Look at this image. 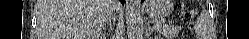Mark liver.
Wrapping results in <instances>:
<instances>
[{
	"instance_id": "obj_1",
	"label": "liver",
	"mask_w": 249,
	"mask_h": 39,
	"mask_svg": "<svg viewBox=\"0 0 249 39\" xmlns=\"http://www.w3.org/2000/svg\"><path fill=\"white\" fill-rule=\"evenodd\" d=\"M117 0H38L39 39H96Z\"/></svg>"
}]
</instances>
